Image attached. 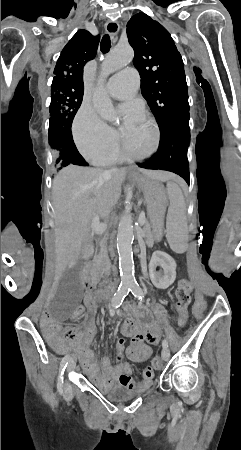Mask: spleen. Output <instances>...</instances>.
<instances>
[{
    "instance_id": "obj_1",
    "label": "spleen",
    "mask_w": 241,
    "mask_h": 450,
    "mask_svg": "<svg viewBox=\"0 0 241 450\" xmlns=\"http://www.w3.org/2000/svg\"><path fill=\"white\" fill-rule=\"evenodd\" d=\"M167 192L169 196V211H184L186 205L184 204L183 192L175 182H168ZM168 223L170 229L167 233L168 242L170 244V250L172 253L184 254L187 250V242L189 234L184 227L186 224L185 212H169Z\"/></svg>"
}]
</instances>
